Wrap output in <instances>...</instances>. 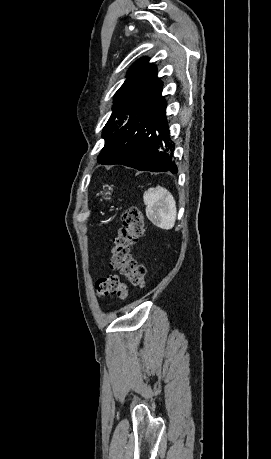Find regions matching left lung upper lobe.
Wrapping results in <instances>:
<instances>
[{"label":"left lung upper lobe","instance_id":"1","mask_svg":"<svg viewBox=\"0 0 271 459\" xmlns=\"http://www.w3.org/2000/svg\"><path fill=\"white\" fill-rule=\"evenodd\" d=\"M144 57L134 63L127 73V79L114 97L113 112L103 128L105 145L99 154L98 163L106 157L109 149V135L130 117H141L152 108L156 92L162 82L157 78V69Z\"/></svg>","mask_w":271,"mask_h":459}]
</instances>
